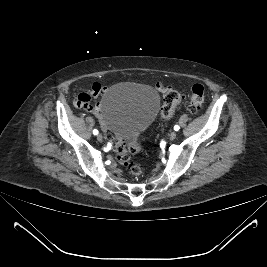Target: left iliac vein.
Returning <instances> with one entry per match:
<instances>
[{
  "label": "left iliac vein",
  "mask_w": 267,
  "mask_h": 267,
  "mask_svg": "<svg viewBox=\"0 0 267 267\" xmlns=\"http://www.w3.org/2000/svg\"><path fill=\"white\" fill-rule=\"evenodd\" d=\"M176 137H177V133L174 132V131L171 132L170 135H169V139H170V140H174V139H176Z\"/></svg>",
  "instance_id": "4c4485c4"
}]
</instances>
